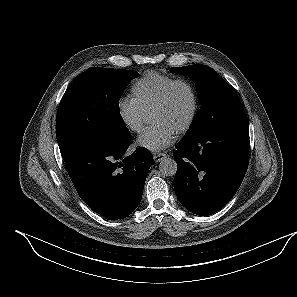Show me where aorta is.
Instances as JSON below:
<instances>
[{"instance_id":"aorta-1","label":"aorta","mask_w":297,"mask_h":297,"mask_svg":"<svg viewBox=\"0 0 297 297\" xmlns=\"http://www.w3.org/2000/svg\"><path fill=\"white\" fill-rule=\"evenodd\" d=\"M159 170L164 176H173L177 171V163L172 158H163L159 164Z\"/></svg>"}]
</instances>
